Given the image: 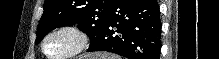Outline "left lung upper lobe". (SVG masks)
Returning a JSON list of instances; mask_svg holds the SVG:
<instances>
[{"instance_id": "left-lung-upper-lobe-1", "label": "left lung upper lobe", "mask_w": 219, "mask_h": 59, "mask_svg": "<svg viewBox=\"0 0 219 59\" xmlns=\"http://www.w3.org/2000/svg\"><path fill=\"white\" fill-rule=\"evenodd\" d=\"M114 0H45L37 28L38 44L51 30L75 23L90 38V46L100 36Z\"/></svg>"}]
</instances>
